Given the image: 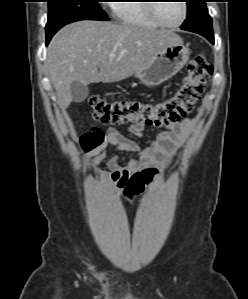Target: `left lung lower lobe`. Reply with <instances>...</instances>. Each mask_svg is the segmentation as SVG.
I'll return each instance as SVG.
<instances>
[{
    "label": "left lung lower lobe",
    "mask_w": 248,
    "mask_h": 299,
    "mask_svg": "<svg viewBox=\"0 0 248 299\" xmlns=\"http://www.w3.org/2000/svg\"><path fill=\"white\" fill-rule=\"evenodd\" d=\"M198 34L206 37L211 43H214V36L210 32L205 31V30H201V31H199Z\"/></svg>",
    "instance_id": "0a47b994"
}]
</instances>
